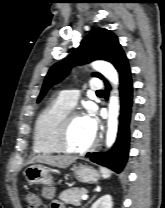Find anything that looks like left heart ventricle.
Masks as SVG:
<instances>
[{"label": "left heart ventricle", "mask_w": 165, "mask_h": 208, "mask_svg": "<svg viewBox=\"0 0 165 208\" xmlns=\"http://www.w3.org/2000/svg\"><path fill=\"white\" fill-rule=\"evenodd\" d=\"M94 137L89 133L84 117L73 119L67 133V143L73 149H82L87 147Z\"/></svg>", "instance_id": "b2bd125f"}]
</instances>
